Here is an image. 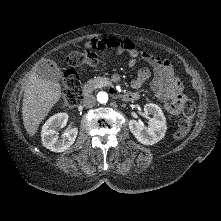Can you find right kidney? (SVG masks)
<instances>
[{
  "label": "right kidney",
  "mask_w": 221,
  "mask_h": 221,
  "mask_svg": "<svg viewBox=\"0 0 221 221\" xmlns=\"http://www.w3.org/2000/svg\"><path fill=\"white\" fill-rule=\"evenodd\" d=\"M67 113H58L50 117L42 127V144L53 152H63L67 150L76 140L78 129L67 130L62 138L58 137L57 129L63 128L68 121Z\"/></svg>",
  "instance_id": "1"
}]
</instances>
